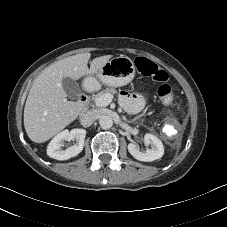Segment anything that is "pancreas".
I'll return each mask as SVG.
<instances>
[{"mask_svg":"<svg viewBox=\"0 0 227 227\" xmlns=\"http://www.w3.org/2000/svg\"><path fill=\"white\" fill-rule=\"evenodd\" d=\"M116 93V90L114 88H106L103 91L99 92L98 94L93 96V100H95L96 98H99L105 94H112L114 95Z\"/></svg>","mask_w":227,"mask_h":227,"instance_id":"cf45deb5","label":"pancreas"}]
</instances>
